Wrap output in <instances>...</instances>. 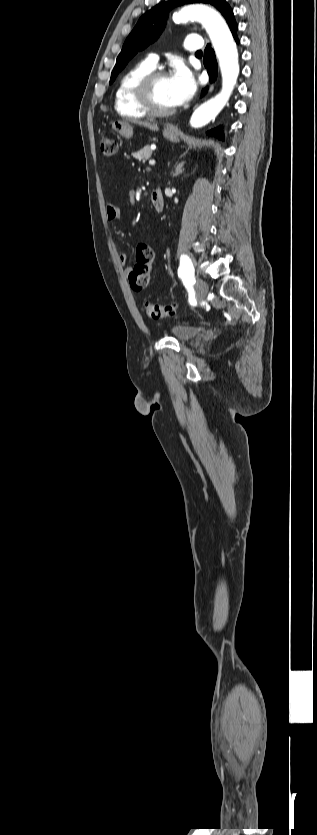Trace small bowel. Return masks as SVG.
Segmentation results:
<instances>
[{
	"mask_svg": "<svg viewBox=\"0 0 317 835\" xmlns=\"http://www.w3.org/2000/svg\"><path fill=\"white\" fill-rule=\"evenodd\" d=\"M106 215H107V218L110 222H116L120 219V210L116 205L110 203V204L107 205ZM154 255H155L154 248L149 242H142L138 245L137 253H136V260L137 261L139 259H142V260H149L150 262H152L153 258H154ZM119 259H120V262L124 265L128 261V256L125 253H121L119 255ZM129 270L131 271L132 269L130 268Z\"/></svg>",
	"mask_w": 317,
	"mask_h": 835,
	"instance_id": "small-bowel-1",
	"label": "small bowel"
}]
</instances>
